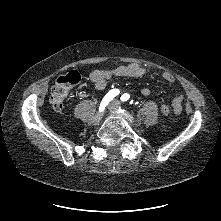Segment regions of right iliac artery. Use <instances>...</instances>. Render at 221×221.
<instances>
[{
	"label": "right iliac artery",
	"instance_id": "82829eb1",
	"mask_svg": "<svg viewBox=\"0 0 221 221\" xmlns=\"http://www.w3.org/2000/svg\"><path fill=\"white\" fill-rule=\"evenodd\" d=\"M119 90L118 89H113L111 91H109L106 96L104 97V99L101 102L100 105V110H103L105 108V106L116 96L119 94Z\"/></svg>",
	"mask_w": 221,
	"mask_h": 221
}]
</instances>
